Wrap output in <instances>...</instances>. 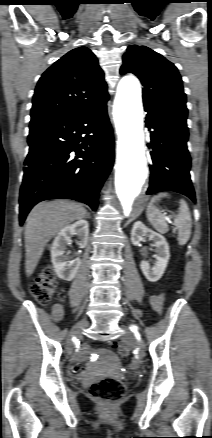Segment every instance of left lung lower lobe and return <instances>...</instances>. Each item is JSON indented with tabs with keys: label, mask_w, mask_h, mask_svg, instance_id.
<instances>
[{
	"label": "left lung lower lobe",
	"mask_w": 212,
	"mask_h": 438,
	"mask_svg": "<svg viewBox=\"0 0 212 438\" xmlns=\"http://www.w3.org/2000/svg\"><path fill=\"white\" fill-rule=\"evenodd\" d=\"M146 127L152 129L149 147L150 186L147 194L175 191L195 202L190 179L191 158L187 149L188 127L186 117L167 114L145 107Z\"/></svg>",
	"instance_id": "1"
}]
</instances>
